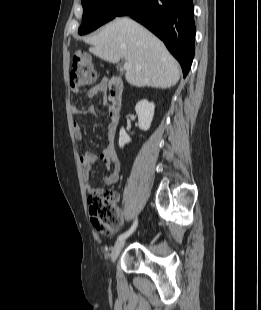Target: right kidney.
I'll return each instance as SVG.
<instances>
[{
	"mask_svg": "<svg viewBox=\"0 0 261 310\" xmlns=\"http://www.w3.org/2000/svg\"><path fill=\"white\" fill-rule=\"evenodd\" d=\"M154 109V104L147 100H141L136 104L135 111L138 115V125L141 130L147 131L150 128L154 116ZM130 140L124 128H121L119 133V147L123 148Z\"/></svg>",
	"mask_w": 261,
	"mask_h": 310,
	"instance_id": "1",
	"label": "right kidney"
}]
</instances>
